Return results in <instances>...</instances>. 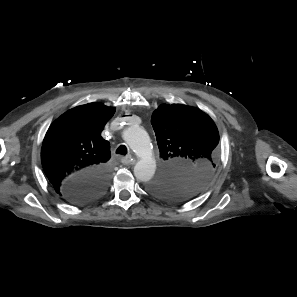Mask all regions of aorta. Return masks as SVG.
Returning <instances> with one entry per match:
<instances>
[{"label":"aorta","mask_w":297,"mask_h":297,"mask_svg":"<svg viewBox=\"0 0 297 297\" xmlns=\"http://www.w3.org/2000/svg\"><path fill=\"white\" fill-rule=\"evenodd\" d=\"M123 140L135 152L137 162L134 166L136 179L148 182L155 174L156 161L153 155L149 135L138 125H133L123 132Z\"/></svg>","instance_id":"obj_1"}]
</instances>
